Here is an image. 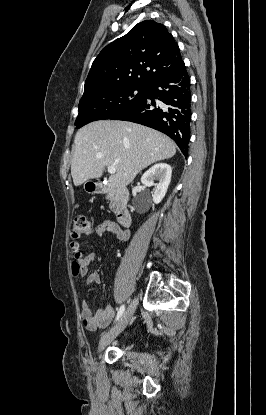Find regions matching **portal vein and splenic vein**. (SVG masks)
Listing matches in <instances>:
<instances>
[{
	"mask_svg": "<svg viewBox=\"0 0 266 415\" xmlns=\"http://www.w3.org/2000/svg\"><path fill=\"white\" fill-rule=\"evenodd\" d=\"M107 170H108V173H110L112 175L116 173V169L113 165L108 166Z\"/></svg>",
	"mask_w": 266,
	"mask_h": 415,
	"instance_id": "18ae733b",
	"label": "portal vein and splenic vein"
}]
</instances>
